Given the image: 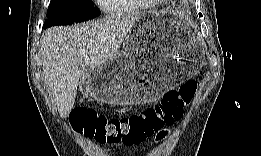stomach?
Wrapping results in <instances>:
<instances>
[{
	"label": "stomach",
	"instance_id": "obj_1",
	"mask_svg": "<svg viewBox=\"0 0 261 156\" xmlns=\"http://www.w3.org/2000/svg\"><path fill=\"white\" fill-rule=\"evenodd\" d=\"M154 49L150 59L142 54ZM202 51L192 25L175 10L141 16L126 37L124 51L88 72L79 82L97 101L109 105L155 102L193 77Z\"/></svg>",
	"mask_w": 261,
	"mask_h": 156
}]
</instances>
